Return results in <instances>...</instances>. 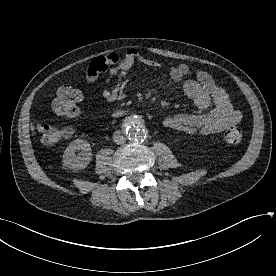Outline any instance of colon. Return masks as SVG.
<instances>
[{
    "mask_svg": "<svg viewBox=\"0 0 276 276\" xmlns=\"http://www.w3.org/2000/svg\"><path fill=\"white\" fill-rule=\"evenodd\" d=\"M81 100L82 95L78 89L65 85L58 89L52 103V108L59 116L68 118L75 117L79 114V103ZM38 131L41 134L42 141L48 145L55 144L70 134L68 129H59L48 124H39ZM224 140L232 146L241 144L243 140L241 130L235 126L230 127L224 133Z\"/></svg>",
    "mask_w": 276,
    "mask_h": 276,
    "instance_id": "1",
    "label": "colon"
}]
</instances>
